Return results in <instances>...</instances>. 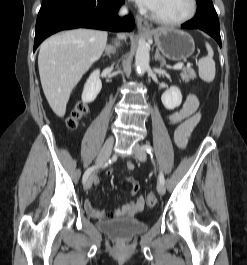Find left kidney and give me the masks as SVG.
Instances as JSON below:
<instances>
[{
    "label": "left kidney",
    "instance_id": "left-kidney-1",
    "mask_svg": "<svg viewBox=\"0 0 247 265\" xmlns=\"http://www.w3.org/2000/svg\"><path fill=\"white\" fill-rule=\"evenodd\" d=\"M161 100L166 109L174 110L182 103V94L178 87H172L162 94Z\"/></svg>",
    "mask_w": 247,
    "mask_h": 265
}]
</instances>
